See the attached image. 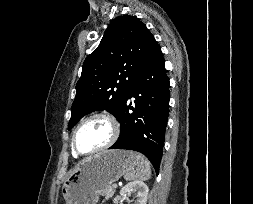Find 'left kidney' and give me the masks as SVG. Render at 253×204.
<instances>
[{
	"label": "left kidney",
	"instance_id": "1",
	"mask_svg": "<svg viewBox=\"0 0 253 204\" xmlns=\"http://www.w3.org/2000/svg\"><path fill=\"white\" fill-rule=\"evenodd\" d=\"M148 192V186L143 181H133L121 189L120 195L123 200L130 201L129 196L133 193L134 204H146Z\"/></svg>",
	"mask_w": 253,
	"mask_h": 204
}]
</instances>
